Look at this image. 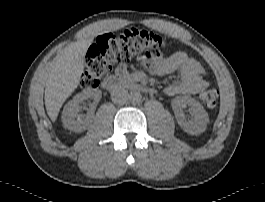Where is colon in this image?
I'll use <instances>...</instances> for the list:
<instances>
[{
	"label": "colon",
	"instance_id": "1",
	"mask_svg": "<svg viewBox=\"0 0 265 202\" xmlns=\"http://www.w3.org/2000/svg\"><path fill=\"white\" fill-rule=\"evenodd\" d=\"M169 46V40L142 28H128L117 34H103L90 46L85 58L82 87H97L113 65H126L135 60L151 66L159 52ZM218 97V90L214 87L203 89L199 94L201 102L209 109L217 106Z\"/></svg>",
	"mask_w": 265,
	"mask_h": 202
}]
</instances>
